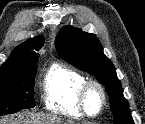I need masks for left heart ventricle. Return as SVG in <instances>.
<instances>
[{"label": "left heart ventricle", "instance_id": "obj_1", "mask_svg": "<svg viewBox=\"0 0 145 124\" xmlns=\"http://www.w3.org/2000/svg\"><path fill=\"white\" fill-rule=\"evenodd\" d=\"M88 108L91 112H95L100 105V95L96 90L90 92L88 96Z\"/></svg>", "mask_w": 145, "mask_h": 124}]
</instances>
